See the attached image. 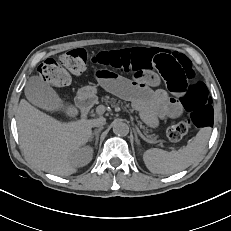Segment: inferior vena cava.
I'll list each match as a JSON object with an SVG mask.
<instances>
[{
  "instance_id": "obj_1",
  "label": "inferior vena cava",
  "mask_w": 231,
  "mask_h": 231,
  "mask_svg": "<svg viewBox=\"0 0 231 231\" xmlns=\"http://www.w3.org/2000/svg\"><path fill=\"white\" fill-rule=\"evenodd\" d=\"M105 124H106V121H105L104 118H98V119H94V120L92 121L93 127H99V128H101V127H103V125H105Z\"/></svg>"
}]
</instances>
